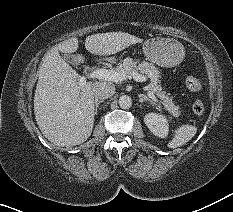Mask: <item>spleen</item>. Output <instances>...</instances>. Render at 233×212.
I'll use <instances>...</instances> for the list:
<instances>
[{
    "instance_id": "3e777b00",
    "label": "spleen",
    "mask_w": 233,
    "mask_h": 212,
    "mask_svg": "<svg viewBox=\"0 0 233 212\" xmlns=\"http://www.w3.org/2000/svg\"><path fill=\"white\" fill-rule=\"evenodd\" d=\"M197 127L192 125H182L180 128H178L175 131V135L172 138L171 141L168 142L169 148H177L184 144H186L188 141H190L196 134Z\"/></svg>"
}]
</instances>
